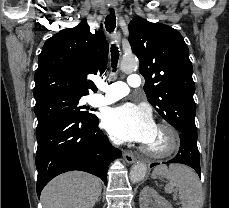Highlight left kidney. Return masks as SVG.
<instances>
[{"instance_id":"1","label":"left kidney","mask_w":229,"mask_h":208,"mask_svg":"<svg viewBox=\"0 0 229 208\" xmlns=\"http://www.w3.org/2000/svg\"><path fill=\"white\" fill-rule=\"evenodd\" d=\"M140 208H172L171 204L165 200V198H161L153 188H149V186H145L143 190L140 192L139 198Z\"/></svg>"}]
</instances>
